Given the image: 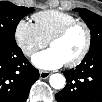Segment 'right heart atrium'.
<instances>
[{"mask_svg": "<svg viewBox=\"0 0 102 102\" xmlns=\"http://www.w3.org/2000/svg\"><path fill=\"white\" fill-rule=\"evenodd\" d=\"M14 34L16 43L25 56L29 57L47 45L36 26L26 19H21L17 23Z\"/></svg>", "mask_w": 102, "mask_h": 102, "instance_id": "1", "label": "right heart atrium"}]
</instances>
